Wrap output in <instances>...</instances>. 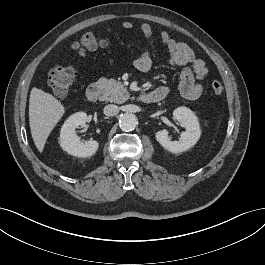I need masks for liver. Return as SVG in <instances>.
<instances>
[{
  "label": "liver",
  "instance_id": "6515ba94",
  "mask_svg": "<svg viewBox=\"0 0 265 265\" xmlns=\"http://www.w3.org/2000/svg\"><path fill=\"white\" fill-rule=\"evenodd\" d=\"M65 113V108L53 95L36 87L29 98V124L33 141L42 152L48 136Z\"/></svg>",
  "mask_w": 265,
  "mask_h": 265
}]
</instances>
